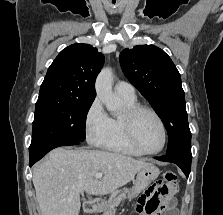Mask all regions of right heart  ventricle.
<instances>
[{
	"label": "right heart ventricle",
	"mask_w": 223,
	"mask_h": 215,
	"mask_svg": "<svg viewBox=\"0 0 223 215\" xmlns=\"http://www.w3.org/2000/svg\"><path fill=\"white\" fill-rule=\"evenodd\" d=\"M126 102L127 109L134 107L137 105L136 99L129 100L123 98ZM110 123V128L103 139L100 141L101 146L104 149L118 152L121 154H127L135 156L137 155L135 151L128 145L126 138H125V130L123 124V114L113 116Z\"/></svg>",
	"instance_id": "1"
}]
</instances>
